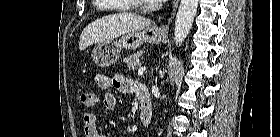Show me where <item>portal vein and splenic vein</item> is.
<instances>
[{
  "mask_svg": "<svg viewBox=\"0 0 280 137\" xmlns=\"http://www.w3.org/2000/svg\"><path fill=\"white\" fill-rule=\"evenodd\" d=\"M145 70H146V67H145V66L139 68L138 74H143V72H144Z\"/></svg>",
  "mask_w": 280,
  "mask_h": 137,
  "instance_id": "portal-vein-and-splenic-vein-1",
  "label": "portal vein and splenic vein"
}]
</instances>
